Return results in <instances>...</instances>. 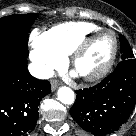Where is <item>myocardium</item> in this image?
Instances as JSON below:
<instances>
[{
	"label": "myocardium",
	"instance_id": "myocardium-1",
	"mask_svg": "<svg viewBox=\"0 0 136 136\" xmlns=\"http://www.w3.org/2000/svg\"><path fill=\"white\" fill-rule=\"evenodd\" d=\"M110 34L113 38V49L112 52L106 61V63L100 67L98 70L88 73V74H79L82 79L85 81L93 82V81H98L105 77L111 68L113 67L117 54H118V38L116 34L109 29H100L87 37H85L77 46L76 48L72 51L70 54V66L76 70V65L78 60L85 54V52L89 49L91 44L101 35L103 34Z\"/></svg>",
	"mask_w": 136,
	"mask_h": 136
}]
</instances>
